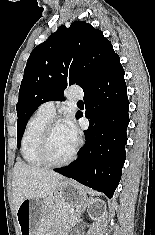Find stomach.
Returning <instances> with one entry per match:
<instances>
[{
  "label": "stomach",
  "instance_id": "stomach-1",
  "mask_svg": "<svg viewBox=\"0 0 155 235\" xmlns=\"http://www.w3.org/2000/svg\"><path fill=\"white\" fill-rule=\"evenodd\" d=\"M54 202L59 201L69 208H81L87 201L84 190L73 180H61L51 198ZM45 201L38 198L26 199L16 212L20 235H44L41 228L46 214Z\"/></svg>",
  "mask_w": 155,
  "mask_h": 235
}]
</instances>
